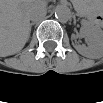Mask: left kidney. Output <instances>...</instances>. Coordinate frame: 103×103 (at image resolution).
Instances as JSON below:
<instances>
[{"instance_id": "obj_1", "label": "left kidney", "mask_w": 103, "mask_h": 103, "mask_svg": "<svg viewBox=\"0 0 103 103\" xmlns=\"http://www.w3.org/2000/svg\"><path fill=\"white\" fill-rule=\"evenodd\" d=\"M89 47L85 45H74V48L82 55L89 58H99L102 56L103 41L102 36L93 32H83ZM75 36H72L74 38Z\"/></svg>"}]
</instances>
